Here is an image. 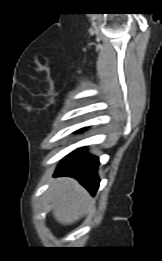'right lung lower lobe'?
Instances as JSON below:
<instances>
[{
  "label": "right lung lower lobe",
  "mask_w": 162,
  "mask_h": 261,
  "mask_svg": "<svg viewBox=\"0 0 162 261\" xmlns=\"http://www.w3.org/2000/svg\"><path fill=\"white\" fill-rule=\"evenodd\" d=\"M99 159L89 155L80 148L64 159L58 166L55 176H71L76 178L92 195L99 187L97 168Z\"/></svg>",
  "instance_id": "obj_1"
}]
</instances>
